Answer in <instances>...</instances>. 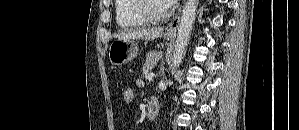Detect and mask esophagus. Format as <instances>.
<instances>
[{"label": "esophagus", "instance_id": "1", "mask_svg": "<svg viewBox=\"0 0 299 130\" xmlns=\"http://www.w3.org/2000/svg\"><path fill=\"white\" fill-rule=\"evenodd\" d=\"M181 11H182V5L179 7L175 18L171 21V23L166 27L165 33L167 34H174L176 32V29L179 26L180 19H181Z\"/></svg>", "mask_w": 299, "mask_h": 130}]
</instances>
